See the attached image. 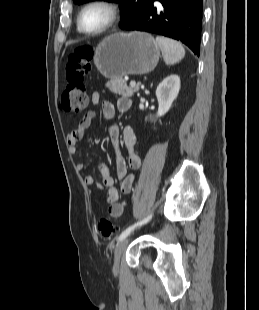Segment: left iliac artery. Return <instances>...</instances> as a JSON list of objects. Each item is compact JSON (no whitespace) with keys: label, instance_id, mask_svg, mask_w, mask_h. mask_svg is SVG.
<instances>
[{"label":"left iliac artery","instance_id":"44dca946","mask_svg":"<svg viewBox=\"0 0 259 310\" xmlns=\"http://www.w3.org/2000/svg\"><path fill=\"white\" fill-rule=\"evenodd\" d=\"M152 218V214L149 215L148 217L144 218L143 220H141L140 222H137L131 226H129L128 228H126L121 234L120 236L118 237V241H121L123 240L124 238H126L130 232L132 230H134L137 226L139 225H143V224H146L150 219Z\"/></svg>","mask_w":259,"mask_h":310}]
</instances>
